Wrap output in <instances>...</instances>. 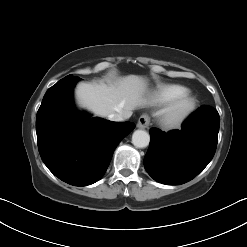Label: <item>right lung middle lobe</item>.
I'll use <instances>...</instances> for the list:
<instances>
[{"label":"right lung middle lobe","instance_id":"1","mask_svg":"<svg viewBox=\"0 0 247 247\" xmlns=\"http://www.w3.org/2000/svg\"><path fill=\"white\" fill-rule=\"evenodd\" d=\"M66 77H72V75H68V76H66Z\"/></svg>","mask_w":247,"mask_h":247}]
</instances>
